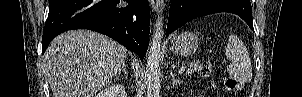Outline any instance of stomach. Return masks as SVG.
Wrapping results in <instances>:
<instances>
[{
    "label": "stomach",
    "mask_w": 302,
    "mask_h": 97,
    "mask_svg": "<svg viewBox=\"0 0 302 97\" xmlns=\"http://www.w3.org/2000/svg\"><path fill=\"white\" fill-rule=\"evenodd\" d=\"M199 46L198 37L192 32H183L171 40V50L179 56L193 55Z\"/></svg>",
    "instance_id": "1"
}]
</instances>
